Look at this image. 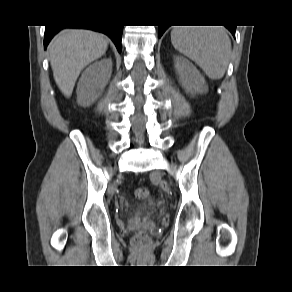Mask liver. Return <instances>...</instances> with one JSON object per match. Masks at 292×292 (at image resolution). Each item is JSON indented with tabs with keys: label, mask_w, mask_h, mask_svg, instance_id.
I'll use <instances>...</instances> for the list:
<instances>
[{
	"label": "liver",
	"mask_w": 292,
	"mask_h": 292,
	"mask_svg": "<svg viewBox=\"0 0 292 292\" xmlns=\"http://www.w3.org/2000/svg\"><path fill=\"white\" fill-rule=\"evenodd\" d=\"M107 39L85 29H64L49 45L53 76L61 92L70 97L80 72L105 54Z\"/></svg>",
	"instance_id": "6515ba94"
}]
</instances>
